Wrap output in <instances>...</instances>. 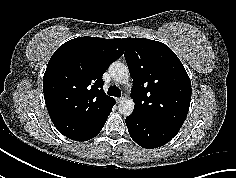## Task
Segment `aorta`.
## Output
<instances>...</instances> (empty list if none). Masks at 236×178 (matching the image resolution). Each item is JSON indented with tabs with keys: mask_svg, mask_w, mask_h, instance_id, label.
Segmentation results:
<instances>
[{
	"mask_svg": "<svg viewBox=\"0 0 236 178\" xmlns=\"http://www.w3.org/2000/svg\"><path fill=\"white\" fill-rule=\"evenodd\" d=\"M109 71L112 77L119 83L125 84L130 78L128 67L119 61L113 62L110 65ZM134 106L135 103L133 99H122L118 105L119 113L124 116H129L132 114Z\"/></svg>",
	"mask_w": 236,
	"mask_h": 178,
	"instance_id": "aorta-1",
	"label": "aorta"
}]
</instances>
